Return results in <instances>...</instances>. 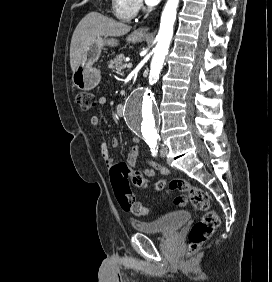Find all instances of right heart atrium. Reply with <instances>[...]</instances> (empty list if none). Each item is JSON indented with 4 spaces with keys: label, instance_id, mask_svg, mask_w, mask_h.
Wrapping results in <instances>:
<instances>
[{
    "label": "right heart atrium",
    "instance_id": "right-heart-atrium-1",
    "mask_svg": "<svg viewBox=\"0 0 272 282\" xmlns=\"http://www.w3.org/2000/svg\"><path fill=\"white\" fill-rule=\"evenodd\" d=\"M130 1V7L129 9L131 11H137L140 8V2L139 0H129Z\"/></svg>",
    "mask_w": 272,
    "mask_h": 282
}]
</instances>
